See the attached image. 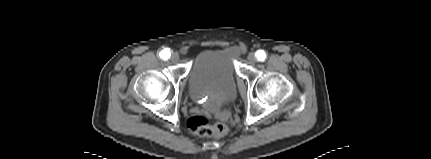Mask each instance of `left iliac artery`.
Segmentation results:
<instances>
[{
    "mask_svg": "<svg viewBox=\"0 0 431 159\" xmlns=\"http://www.w3.org/2000/svg\"><path fill=\"white\" fill-rule=\"evenodd\" d=\"M256 57L259 61H264L266 58V53L263 50H258L256 52Z\"/></svg>",
    "mask_w": 431,
    "mask_h": 159,
    "instance_id": "obj_1",
    "label": "left iliac artery"
}]
</instances>
